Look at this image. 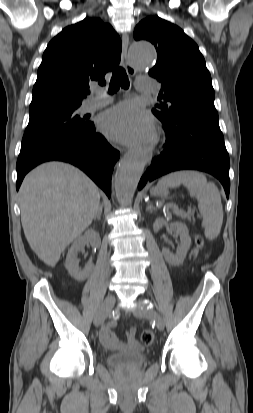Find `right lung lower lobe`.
Masks as SVG:
<instances>
[{"label": "right lung lower lobe", "mask_w": 253, "mask_h": 413, "mask_svg": "<svg viewBox=\"0 0 253 413\" xmlns=\"http://www.w3.org/2000/svg\"><path fill=\"white\" fill-rule=\"evenodd\" d=\"M120 153L96 133L94 124L84 130L60 134L21 145L17 160L18 190L24 176L40 163L59 160L83 170L107 196L111 195V176Z\"/></svg>", "instance_id": "98d812e1"}]
</instances>
